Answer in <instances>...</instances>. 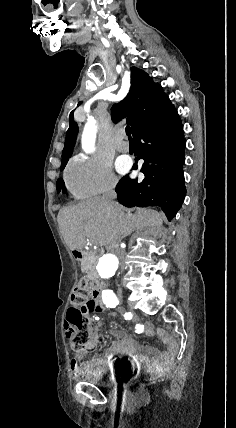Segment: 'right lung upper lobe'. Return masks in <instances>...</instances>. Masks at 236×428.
Segmentation results:
<instances>
[{"label": "right lung upper lobe", "mask_w": 236, "mask_h": 428, "mask_svg": "<svg viewBox=\"0 0 236 428\" xmlns=\"http://www.w3.org/2000/svg\"><path fill=\"white\" fill-rule=\"evenodd\" d=\"M131 81L130 92L120 103L113 105L111 112L114 121H119L127 116V123L131 125L134 132L144 122L167 111L173 105L163 92L161 85L154 83L142 70L132 67ZM77 133L78 126L74 121L72 111L69 116V129L66 133L60 169H64L72 155Z\"/></svg>", "instance_id": "1"}]
</instances>
